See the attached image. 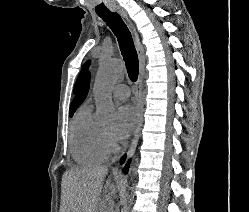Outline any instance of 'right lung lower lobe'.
<instances>
[{
  "label": "right lung lower lobe",
  "instance_id": "right-lung-lower-lobe-1",
  "mask_svg": "<svg viewBox=\"0 0 249 212\" xmlns=\"http://www.w3.org/2000/svg\"><path fill=\"white\" fill-rule=\"evenodd\" d=\"M125 157H126V156H124V157L121 159V163L124 162ZM128 168H129V162L126 164V166H125V168H124V173H125V174L128 172Z\"/></svg>",
  "mask_w": 249,
  "mask_h": 212
}]
</instances>
